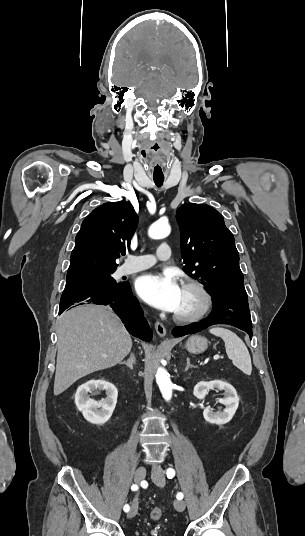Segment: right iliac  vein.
Segmentation results:
<instances>
[{
    "label": "right iliac vein",
    "instance_id": "obj_1",
    "mask_svg": "<svg viewBox=\"0 0 305 536\" xmlns=\"http://www.w3.org/2000/svg\"><path fill=\"white\" fill-rule=\"evenodd\" d=\"M145 475H146V470L144 467H139L136 471H135V475H134V480L136 483H140L142 480H144L145 478ZM137 499H135L132 504H131V509L127 515L128 518H133L135 517L136 513H137Z\"/></svg>",
    "mask_w": 305,
    "mask_h": 536
}]
</instances>
